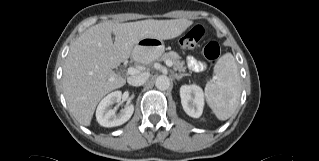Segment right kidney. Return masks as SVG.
<instances>
[{"label":"right kidney","mask_w":319,"mask_h":161,"mask_svg":"<svg viewBox=\"0 0 319 161\" xmlns=\"http://www.w3.org/2000/svg\"><path fill=\"white\" fill-rule=\"evenodd\" d=\"M121 96V91H114L101 100L96 110V119L101 126H120L131 118L134 112L132 104H126L118 114L116 113V109H111L114 103L120 102Z\"/></svg>","instance_id":"ca27d5eb"}]
</instances>
